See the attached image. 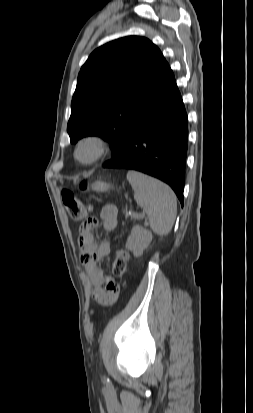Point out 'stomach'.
<instances>
[{
    "mask_svg": "<svg viewBox=\"0 0 253 413\" xmlns=\"http://www.w3.org/2000/svg\"><path fill=\"white\" fill-rule=\"evenodd\" d=\"M92 189L97 192H105L109 190L110 186L106 182L98 181L91 185Z\"/></svg>",
    "mask_w": 253,
    "mask_h": 413,
    "instance_id": "obj_1",
    "label": "stomach"
}]
</instances>
